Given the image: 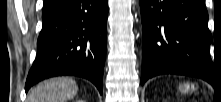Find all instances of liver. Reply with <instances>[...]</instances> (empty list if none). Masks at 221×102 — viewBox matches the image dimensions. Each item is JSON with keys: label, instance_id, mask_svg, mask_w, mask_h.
Returning a JSON list of instances; mask_svg holds the SVG:
<instances>
[{"label": "liver", "instance_id": "1", "mask_svg": "<svg viewBox=\"0 0 221 102\" xmlns=\"http://www.w3.org/2000/svg\"><path fill=\"white\" fill-rule=\"evenodd\" d=\"M78 92L72 78L58 77L38 84L29 94L28 102H67Z\"/></svg>", "mask_w": 221, "mask_h": 102}]
</instances>
